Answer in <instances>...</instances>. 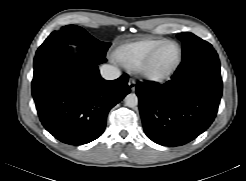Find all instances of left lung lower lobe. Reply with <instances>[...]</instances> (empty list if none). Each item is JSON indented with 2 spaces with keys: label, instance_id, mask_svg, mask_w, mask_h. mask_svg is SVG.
I'll return each mask as SVG.
<instances>
[{
  "label": "left lung lower lobe",
  "instance_id": "left-lung-lower-lobe-1",
  "mask_svg": "<svg viewBox=\"0 0 246 181\" xmlns=\"http://www.w3.org/2000/svg\"><path fill=\"white\" fill-rule=\"evenodd\" d=\"M146 135L164 146L184 145L213 122L222 95L218 55L213 48L182 57L163 85H136Z\"/></svg>",
  "mask_w": 246,
  "mask_h": 181
}]
</instances>
